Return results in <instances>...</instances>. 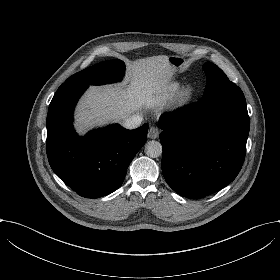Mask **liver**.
Segmentation results:
<instances>
[{
  "instance_id": "1",
  "label": "liver",
  "mask_w": 280,
  "mask_h": 280,
  "mask_svg": "<svg viewBox=\"0 0 280 280\" xmlns=\"http://www.w3.org/2000/svg\"><path fill=\"white\" fill-rule=\"evenodd\" d=\"M174 70L166 55L137 58L125 64V75L119 82L90 85L73 111L74 133L85 137L90 130L122 124L130 116L142 115L147 99L161 94L170 86Z\"/></svg>"
}]
</instances>
